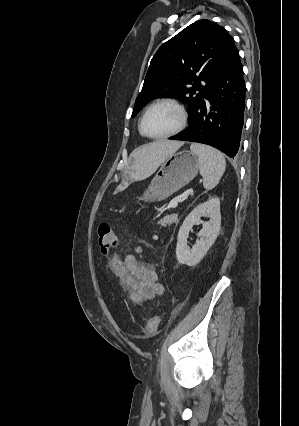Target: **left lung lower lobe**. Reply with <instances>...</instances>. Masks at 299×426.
<instances>
[{
	"label": "left lung lower lobe",
	"instance_id": "obj_1",
	"mask_svg": "<svg viewBox=\"0 0 299 426\" xmlns=\"http://www.w3.org/2000/svg\"><path fill=\"white\" fill-rule=\"evenodd\" d=\"M245 80L236 49L210 83L189 127L170 137L210 145L229 157L238 155L245 110ZM207 100V102L205 101Z\"/></svg>",
	"mask_w": 299,
	"mask_h": 426
}]
</instances>
